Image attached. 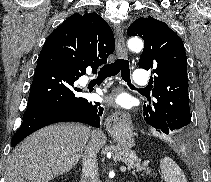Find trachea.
<instances>
[{"label": "trachea", "mask_w": 211, "mask_h": 182, "mask_svg": "<svg viewBox=\"0 0 211 182\" xmlns=\"http://www.w3.org/2000/svg\"><path fill=\"white\" fill-rule=\"evenodd\" d=\"M119 72H121L122 79L126 81L130 87H134L130 80L129 61L126 59H117L114 63L104 65L100 68L99 75L105 77L115 76Z\"/></svg>", "instance_id": "1"}]
</instances>
